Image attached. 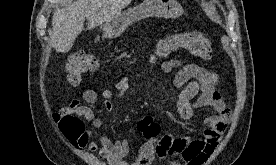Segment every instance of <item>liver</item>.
<instances>
[{
	"label": "liver",
	"mask_w": 276,
	"mask_h": 165,
	"mask_svg": "<svg viewBox=\"0 0 276 165\" xmlns=\"http://www.w3.org/2000/svg\"><path fill=\"white\" fill-rule=\"evenodd\" d=\"M132 0H78L69 1L66 8H57L52 18L50 38L56 52H68L84 29L85 19L88 28L109 22L119 15Z\"/></svg>",
	"instance_id": "1"
}]
</instances>
